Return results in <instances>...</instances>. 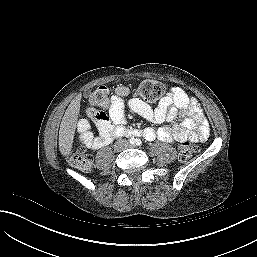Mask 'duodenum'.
Listing matches in <instances>:
<instances>
[{"mask_svg":"<svg viewBox=\"0 0 257 257\" xmlns=\"http://www.w3.org/2000/svg\"><path fill=\"white\" fill-rule=\"evenodd\" d=\"M118 134H126L128 136H138L141 134L138 130H126V131H119Z\"/></svg>","mask_w":257,"mask_h":257,"instance_id":"duodenum-1","label":"duodenum"}]
</instances>
